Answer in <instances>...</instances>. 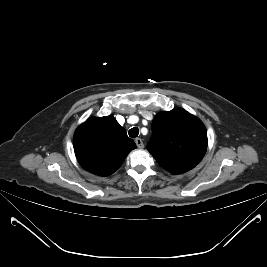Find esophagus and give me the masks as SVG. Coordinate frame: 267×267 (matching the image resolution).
<instances>
[{"label": "esophagus", "instance_id": "34e87169", "mask_svg": "<svg viewBox=\"0 0 267 267\" xmlns=\"http://www.w3.org/2000/svg\"><path fill=\"white\" fill-rule=\"evenodd\" d=\"M135 143H136V145H137V147H138L139 149H143V148H144V144H143L142 139H140V138H136V139H135Z\"/></svg>", "mask_w": 267, "mask_h": 267}]
</instances>
